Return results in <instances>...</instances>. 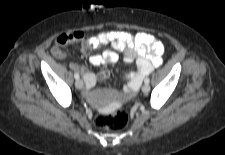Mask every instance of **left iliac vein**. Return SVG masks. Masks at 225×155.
<instances>
[{"label": "left iliac vein", "instance_id": "4c4485c4", "mask_svg": "<svg viewBox=\"0 0 225 155\" xmlns=\"http://www.w3.org/2000/svg\"><path fill=\"white\" fill-rule=\"evenodd\" d=\"M142 91L144 92V93H148L149 91H150V86H149V84H144L143 86H142Z\"/></svg>", "mask_w": 225, "mask_h": 155}]
</instances>
